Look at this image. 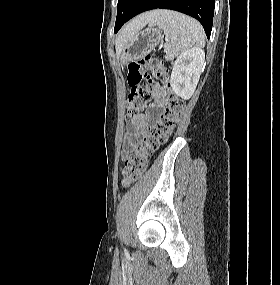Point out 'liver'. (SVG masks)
Wrapping results in <instances>:
<instances>
[{"instance_id":"1","label":"liver","mask_w":280,"mask_h":285,"mask_svg":"<svg viewBox=\"0 0 280 285\" xmlns=\"http://www.w3.org/2000/svg\"><path fill=\"white\" fill-rule=\"evenodd\" d=\"M156 16V11L147 12L137 16L128 22L116 38V53L119 54L124 43L135 33L141 30L147 23H150Z\"/></svg>"}]
</instances>
